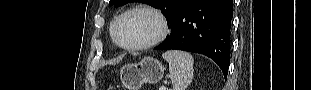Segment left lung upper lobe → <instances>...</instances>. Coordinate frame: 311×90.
Segmentation results:
<instances>
[{"label":"left lung upper lobe","mask_w":311,"mask_h":90,"mask_svg":"<svg viewBox=\"0 0 311 90\" xmlns=\"http://www.w3.org/2000/svg\"><path fill=\"white\" fill-rule=\"evenodd\" d=\"M133 0H110L109 5L120 6ZM194 0H145L154 8L160 9L170 21L171 28L176 22L179 15Z\"/></svg>","instance_id":"1"}]
</instances>
